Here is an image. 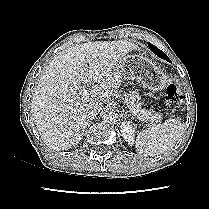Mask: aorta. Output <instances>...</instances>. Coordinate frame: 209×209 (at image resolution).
I'll use <instances>...</instances> for the list:
<instances>
[{
    "label": "aorta",
    "instance_id": "1",
    "mask_svg": "<svg viewBox=\"0 0 209 209\" xmlns=\"http://www.w3.org/2000/svg\"><path fill=\"white\" fill-rule=\"evenodd\" d=\"M103 119L106 123L114 125L120 121L121 115L114 110H109L105 112Z\"/></svg>",
    "mask_w": 209,
    "mask_h": 209
}]
</instances>
